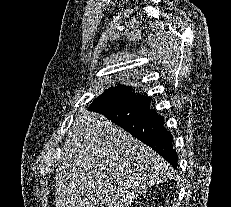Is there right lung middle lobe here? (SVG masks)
Segmentation results:
<instances>
[{
  "instance_id": "1",
  "label": "right lung middle lobe",
  "mask_w": 231,
  "mask_h": 207,
  "mask_svg": "<svg viewBox=\"0 0 231 207\" xmlns=\"http://www.w3.org/2000/svg\"><path fill=\"white\" fill-rule=\"evenodd\" d=\"M126 92L124 91L123 85H117L116 87L106 90L102 95H100L101 100L106 101H115L120 100L125 96ZM97 99V98H96Z\"/></svg>"
}]
</instances>
